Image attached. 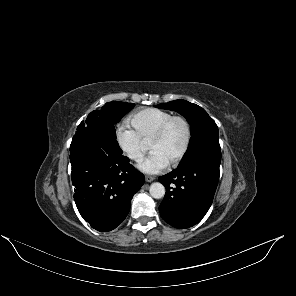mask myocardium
<instances>
[{
    "mask_svg": "<svg viewBox=\"0 0 296 296\" xmlns=\"http://www.w3.org/2000/svg\"><path fill=\"white\" fill-rule=\"evenodd\" d=\"M175 121H181L185 125L186 140H185L184 147H183L182 151L180 152V154L177 156V158H175L171 162L172 166L178 165L185 158V156L187 155V153L189 151L191 141H192V127H191V123L188 120V118L183 115H173L161 126V128L156 133V135L154 136V138L152 139V141L150 143L151 145H153L154 143H157V142L163 140L165 138L166 134L168 133V130L170 129L171 125Z\"/></svg>",
    "mask_w": 296,
    "mask_h": 296,
    "instance_id": "f54148a6",
    "label": "myocardium"
}]
</instances>
